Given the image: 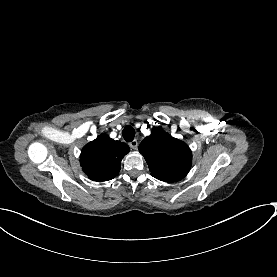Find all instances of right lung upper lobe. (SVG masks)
I'll return each instance as SVG.
<instances>
[{
	"instance_id": "right-lung-upper-lobe-1",
	"label": "right lung upper lobe",
	"mask_w": 277,
	"mask_h": 277,
	"mask_svg": "<svg viewBox=\"0 0 277 277\" xmlns=\"http://www.w3.org/2000/svg\"><path fill=\"white\" fill-rule=\"evenodd\" d=\"M130 151L128 145L115 141L106 134L84 146L80 164L85 174L94 181L113 179L121 168L122 158Z\"/></svg>"
}]
</instances>
